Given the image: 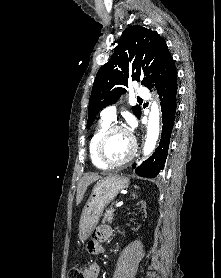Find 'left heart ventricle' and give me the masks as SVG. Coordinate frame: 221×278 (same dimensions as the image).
Returning <instances> with one entry per match:
<instances>
[{
    "mask_svg": "<svg viewBox=\"0 0 221 278\" xmlns=\"http://www.w3.org/2000/svg\"><path fill=\"white\" fill-rule=\"evenodd\" d=\"M131 149L130 136L125 132L115 131L106 140L104 156L110 162H119L130 154Z\"/></svg>",
    "mask_w": 221,
    "mask_h": 278,
    "instance_id": "obj_1",
    "label": "left heart ventricle"
}]
</instances>
